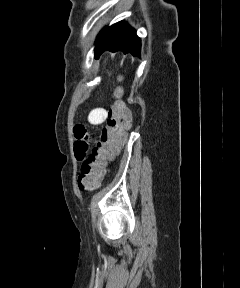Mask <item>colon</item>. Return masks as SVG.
<instances>
[{
    "label": "colon",
    "instance_id": "1",
    "mask_svg": "<svg viewBox=\"0 0 240 288\" xmlns=\"http://www.w3.org/2000/svg\"><path fill=\"white\" fill-rule=\"evenodd\" d=\"M132 116L127 106L115 102L108 112V126L101 134V141L87 159L82 162L78 187L82 191L95 190L103 177L105 163L118 151L125 139V131L131 125Z\"/></svg>",
    "mask_w": 240,
    "mask_h": 288
}]
</instances>
